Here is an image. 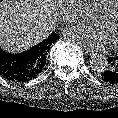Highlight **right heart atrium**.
<instances>
[{
    "label": "right heart atrium",
    "instance_id": "obj_1",
    "mask_svg": "<svg viewBox=\"0 0 118 118\" xmlns=\"http://www.w3.org/2000/svg\"><path fill=\"white\" fill-rule=\"evenodd\" d=\"M78 0H61V8L59 11V20L63 24L75 22L78 17Z\"/></svg>",
    "mask_w": 118,
    "mask_h": 118
}]
</instances>
